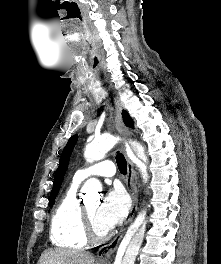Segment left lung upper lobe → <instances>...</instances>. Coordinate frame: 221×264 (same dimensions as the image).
<instances>
[{
	"label": "left lung upper lobe",
	"mask_w": 221,
	"mask_h": 264,
	"mask_svg": "<svg viewBox=\"0 0 221 264\" xmlns=\"http://www.w3.org/2000/svg\"><path fill=\"white\" fill-rule=\"evenodd\" d=\"M123 119H124V122L127 126H133V121L132 119L130 118L129 114L123 110ZM77 138L78 136L77 135H74L72 136L67 145L65 146L63 152H62V155H61V158H60V163H59V167L57 168L56 170V173H55V179H54V182H53V188H52V191L50 193V198H49V204H50V207L53 206L54 202H55V198L60 190V187H61V183L63 181V177L66 173V170H67V167H68V164H69V159H70V156H71V153H72V150L77 142Z\"/></svg>",
	"instance_id": "left-lung-upper-lobe-1"
}]
</instances>
